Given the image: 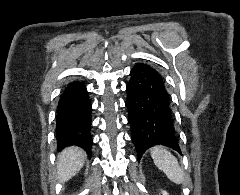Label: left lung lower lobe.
<instances>
[{
	"label": "left lung lower lobe",
	"instance_id": "obj_1",
	"mask_svg": "<svg viewBox=\"0 0 240 195\" xmlns=\"http://www.w3.org/2000/svg\"><path fill=\"white\" fill-rule=\"evenodd\" d=\"M128 122L137 160L154 145H164L181 153L173 127L169 94L162 76L150 65L137 63L126 86Z\"/></svg>",
	"mask_w": 240,
	"mask_h": 195
}]
</instances>
